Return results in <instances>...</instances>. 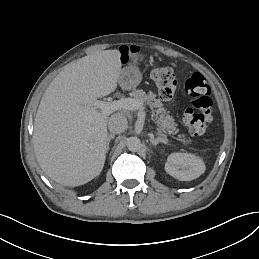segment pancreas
<instances>
[{"mask_svg": "<svg viewBox=\"0 0 259 259\" xmlns=\"http://www.w3.org/2000/svg\"><path fill=\"white\" fill-rule=\"evenodd\" d=\"M132 96L136 100H140L142 103L148 105L152 110V115L155 118V123L166 133L177 134L179 129L176 128L177 124L174 122L172 116L168 115L166 109L163 108V104L159 99H156V95L152 92L146 94L143 90H135L132 92ZM181 137V136H179Z\"/></svg>", "mask_w": 259, "mask_h": 259, "instance_id": "obj_1", "label": "pancreas"}]
</instances>
